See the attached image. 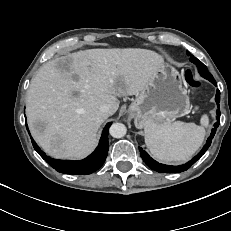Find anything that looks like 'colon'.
<instances>
[{"label": "colon", "mask_w": 231, "mask_h": 231, "mask_svg": "<svg viewBox=\"0 0 231 231\" xmlns=\"http://www.w3.org/2000/svg\"><path fill=\"white\" fill-rule=\"evenodd\" d=\"M185 80L192 87L197 88L200 86V82L194 78L193 73L191 71H187L185 73Z\"/></svg>", "instance_id": "1"}]
</instances>
